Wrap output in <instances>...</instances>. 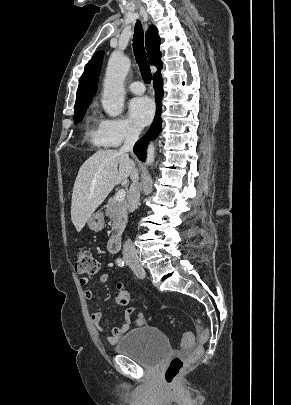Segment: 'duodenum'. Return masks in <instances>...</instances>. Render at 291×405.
<instances>
[{
  "label": "duodenum",
  "instance_id": "410a0bca",
  "mask_svg": "<svg viewBox=\"0 0 291 405\" xmlns=\"http://www.w3.org/2000/svg\"><path fill=\"white\" fill-rule=\"evenodd\" d=\"M120 248H121V235L115 234L108 240L107 249L112 253H116L120 250Z\"/></svg>",
  "mask_w": 291,
  "mask_h": 405
}]
</instances>
